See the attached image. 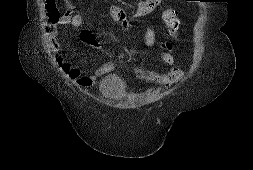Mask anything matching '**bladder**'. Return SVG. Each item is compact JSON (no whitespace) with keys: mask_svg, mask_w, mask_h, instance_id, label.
Segmentation results:
<instances>
[{"mask_svg":"<svg viewBox=\"0 0 253 170\" xmlns=\"http://www.w3.org/2000/svg\"><path fill=\"white\" fill-rule=\"evenodd\" d=\"M125 90V82L118 74H109L100 82V92L106 98L118 99L123 96Z\"/></svg>","mask_w":253,"mask_h":170,"instance_id":"1","label":"bladder"}]
</instances>
